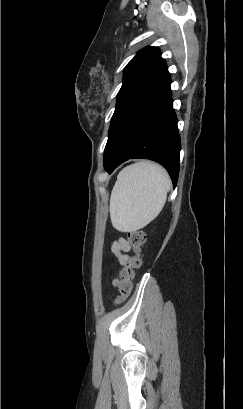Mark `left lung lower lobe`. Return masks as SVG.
<instances>
[{
  "label": "left lung lower lobe",
  "mask_w": 243,
  "mask_h": 409,
  "mask_svg": "<svg viewBox=\"0 0 243 409\" xmlns=\"http://www.w3.org/2000/svg\"><path fill=\"white\" fill-rule=\"evenodd\" d=\"M170 83L165 64L123 113L115 127L117 155L105 166L109 174L128 159H150L166 168L176 187L181 146Z\"/></svg>",
  "instance_id": "0a47b994"
}]
</instances>
